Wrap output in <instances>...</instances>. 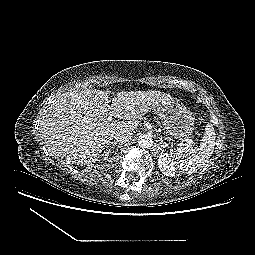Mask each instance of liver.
<instances>
[{
  "label": "liver",
  "mask_w": 255,
  "mask_h": 255,
  "mask_svg": "<svg viewBox=\"0 0 255 255\" xmlns=\"http://www.w3.org/2000/svg\"><path fill=\"white\" fill-rule=\"evenodd\" d=\"M74 90L53 101L40 123L47 150L55 157L81 164L98 160L116 132L136 130L139 119L172 99L156 90L118 92ZM108 116L117 120L109 121Z\"/></svg>",
  "instance_id": "obj_1"
}]
</instances>
